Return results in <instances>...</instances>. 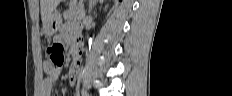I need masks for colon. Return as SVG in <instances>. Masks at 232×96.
Returning <instances> with one entry per match:
<instances>
[{"label": "colon", "instance_id": "5ec220e1", "mask_svg": "<svg viewBox=\"0 0 232 96\" xmlns=\"http://www.w3.org/2000/svg\"><path fill=\"white\" fill-rule=\"evenodd\" d=\"M50 58L48 71L50 74L57 75L64 65V48L62 45L53 44L47 49Z\"/></svg>", "mask_w": 232, "mask_h": 96}]
</instances>
